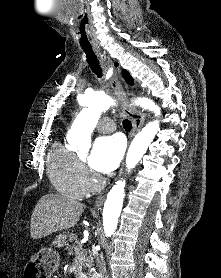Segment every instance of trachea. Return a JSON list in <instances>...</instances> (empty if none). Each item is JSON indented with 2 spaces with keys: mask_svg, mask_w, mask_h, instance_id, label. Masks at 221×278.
<instances>
[{
  "mask_svg": "<svg viewBox=\"0 0 221 278\" xmlns=\"http://www.w3.org/2000/svg\"><path fill=\"white\" fill-rule=\"evenodd\" d=\"M84 53L86 54V60L91 68L92 72L98 77L102 78V69L99 65V61L97 56L95 55L92 48H82ZM124 129L129 132L132 128L131 122L128 119L123 120Z\"/></svg>",
  "mask_w": 221,
  "mask_h": 278,
  "instance_id": "trachea-1",
  "label": "trachea"
}]
</instances>
